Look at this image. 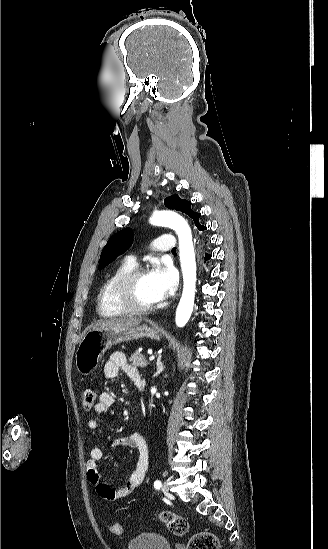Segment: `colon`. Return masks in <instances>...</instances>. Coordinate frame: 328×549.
I'll use <instances>...</instances> for the list:
<instances>
[{
	"label": "colon",
	"instance_id": "1",
	"mask_svg": "<svg viewBox=\"0 0 328 549\" xmlns=\"http://www.w3.org/2000/svg\"><path fill=\"white\" fill-rule=\"evenodd\" d=\"M97 394L91 389L87 388L82 394V405L85 410H91L96 402ZM159 519L163 522L171 533L176 536H183L189 531L188 521L173 512L165 511L160 513ZM109 530L116 535H120L123 532V527L120 523L114 522L109 525ZM218 539L211 532H198L194 534L188 544L187 549H217Z\"/></svg>",
	"mask_w": 328,
	"mask_h": 549
}]
</instances>
